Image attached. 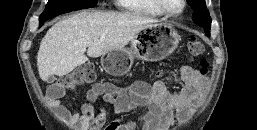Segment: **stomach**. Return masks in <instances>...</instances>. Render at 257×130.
I'll return each instance as SVG.
<instances>
[{
	"mask_svg": "<svg viewBox=\"0 0 257 130\" xmlns=\"http://www.w3.org/2000/svg\"><path fill=\"white\" fill-rule=\"evenodd\" d=\"M143 35H147L148 40L141 41ZM180 39L171 24H154L132 39L130 48L115 49L103 54L102 67L108 74L123 75L129 71L135 57L150 62L162 60L175 51Z\"/></svg>",
	"mask_w": 257,
	"mask_h": 130,
	"instance_id": "stomach-1",
	"label": "stomach"
}]
</instances>
